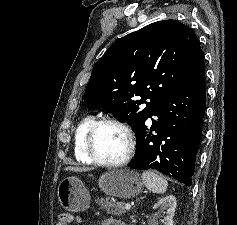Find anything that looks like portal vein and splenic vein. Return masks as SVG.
<instances>
[{
	"label": "portal vein and splenic vein",
	"mask_w": 237,
	"mask_h": 225,
	"mask_svg": "<svg viewBox=\"0 0 237 225\" xmlns=\"http://www.w3.org/2000/svg\"><path fill=\"white\" fill-rule=\"evenodd\" d=\"M130 208H131V205H130V204H126V205H125V209H126V210H130Z\"/></svg>",
	"instance_id": "portal-vein-and-splenic-vein-1"
}]
</instances>
